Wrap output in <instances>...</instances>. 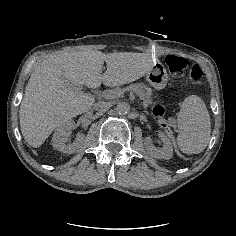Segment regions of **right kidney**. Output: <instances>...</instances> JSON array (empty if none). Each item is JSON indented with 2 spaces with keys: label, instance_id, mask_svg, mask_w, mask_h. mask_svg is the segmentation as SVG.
Listing matches in <instances>:
<instances>
[{
  "label": "right kidney",
  "instance_id": "1",
  "mask_svg": "<svg viewBox=\"0 0 236 236\" xmlns=\"http://www.w3.org/2000/svg\"><path fill=\"white\" fill-rule=\"evenodd\" d=\"M74 125L75 123L69 120L54 134L52 141V146L54 149L67 154H74L83 149L85 146L86 135L82 133L77 134L76 140L73 144H67V137L70 135Z\"/></svg>",
  "mask_w": 236,
  "mask_h": 236
}]
</instances>
